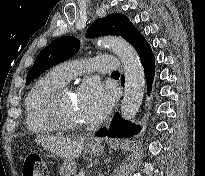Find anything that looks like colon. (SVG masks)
<instances>
[{
    "instance_id": "1",
    "label": "colon",
    "mask_w": 205,
    "mask_h": 176,
    "mask_svg": "<svg viewBox=\"0 0 205 176\" xmlns=\"http://www.w3.org/2000/svg\"><path fill=\"white\" fill-rule=\"evenodd\" d=\"M22 176H47L46 162L40 157H30L22 167Z\"/></svg>"
}]
</instances>
